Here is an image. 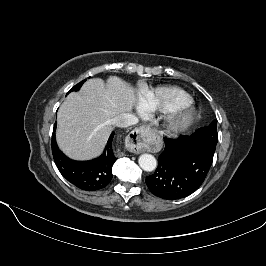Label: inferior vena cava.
<instances>
[{
	"instance_id": "1",
	"label": "inferior vena cava",
	"mask_w": 266,
	"mask_h": 266,
	"mask_svg": "<svg viewBox=\"0 0 266 266\" xmlns=\"http://www.w3.org/2000/svg\"><path fill=\"white\" fill-rule=\"evenodd\" d=\"M136 123H138V118L131 113H122L111 119V124L120 128H126Z\"/></svg>"
}]
</instances>
